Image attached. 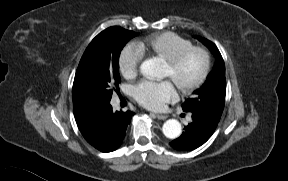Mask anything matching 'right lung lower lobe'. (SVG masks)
<instances>
[{"label": "right lung lower lobe", "mask_w": 288, "mask_h": 181, "mask_svg": "<svg viewBox=\"0 0 288 181\" xmlns=\"http://www.w3.org/2000/svg\"><path fill=\"white\" fill-rule=\"evenodd\" d=\"M133 112L112 111V106L107 104L106 111L102 116L99 129V138L95 143H90L102 152H112L118 149L125 137V131Z\"/></svg>", "instance_id": "obj_1"}]
</instances>
